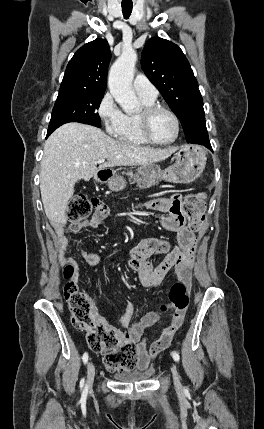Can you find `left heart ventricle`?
Wrapping results in <instances>:
<instances>
[{
    "instance_id": "1",
    "label": "left heart ventricle",
    "mask_w": 264,
    "mask_h": 429,
    "mask_svg": "<svg viewBox=\"0 0 264 429\" xmlns=\"http://www.w3.org/2000/svg\"><path fill=\"white\" fill-rule=\"evenodd\" d=\"M150 128L153 137L161 142L171 140L176 132L173 119L164 112H159L153 116Z\"/></svg>"
}]
</instances>
